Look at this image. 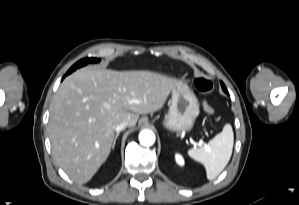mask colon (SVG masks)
I'll return each instance as SVG.
<instances>
[{"label":"colon","instance_id":"1","mask_svg":"<svg viewBox=\"0 0 299 205\" xmlns=\"http://www.w3.org/2000/svg\"><path fill=\"white\" fill-rule=\"evenodd\" d=\"M194 85L195 88L204 96L211 93L214 88L212 81L206 77L196 78L194 81ZM203 108L204 111L209 115H212L214 113V109L207 99L203 100Z\"/></svg>","mask_w":299,"mask_h":205}]
</instances>
